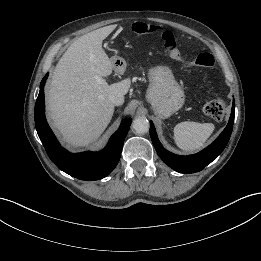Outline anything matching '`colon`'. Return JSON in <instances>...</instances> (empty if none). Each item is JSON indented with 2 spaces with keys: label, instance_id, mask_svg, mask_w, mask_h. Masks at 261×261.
Segmentation results:
<instances>
[{
  "label": "colon",
  "instance_id": "colon-1",
  "mask_svg": "<svg viewBox=\"0 0 261 261\" xmlns=\"http://www.w3.org/2000/svg\"><path fill=\"white\" fill-rule=\"evenodd\" d=\"M132 29L137 34H152L160 32L164 47L170 57L178 62H182V57L177 47L175 36L172 32L146 23H135L133 24ZM189 65L210 69L215 65V59L210 52L202 51L193 61L189 62ZM225 109L226 106L224 101L221 99H214L204 105L203 112L206 116L212 119L221 120L225 115Z\"/></svg>",
  "mask_w": 261,
  "mask_h": 261
}]
</instances>
